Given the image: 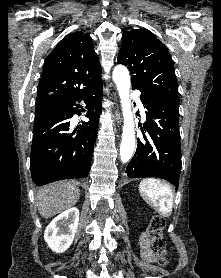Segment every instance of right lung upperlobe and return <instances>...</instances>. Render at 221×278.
Listing matches in <instances>:
<instances>
[{"mask_svg":"<svg viewBox=\"0 0 221 278\" xmlns=\"http://www.w3.org/2000/svg\"><path fill=\"white\" fill-rule=\"evenodd\" d=\"M101 81V66L91 37L83 32L69 34L45 61L36 103L73 94Z\"/></svg>","mask_w":221,"mask_h":278,"instance_id":"cb5924a9","label":"right lung upper lobe"}]
</instances>
